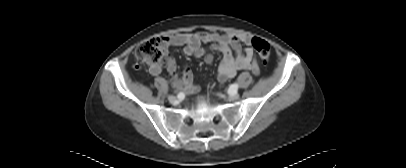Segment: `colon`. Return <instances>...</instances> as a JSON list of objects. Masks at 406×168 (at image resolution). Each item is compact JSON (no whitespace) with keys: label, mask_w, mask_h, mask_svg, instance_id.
I'll list each match as a JSON object with an SVG mask.
<instances>
[{"label":"colon","mask_w":406,"mask_h":168,"mask_svg":"<svg viewBox=\"0 0 406 168\" xmlns=\"http://www.w3.org/2000/svg\"><path fill=\"white\" fill-rule=\"evenodd\" d=\"M250 43L265 64L269 61L270 45L260 37H253ZM138 60L148 65H161L168 58V39L152 37L142 42L135 51Z\"/></svg>","instance_id":"1"}]
</instances>
